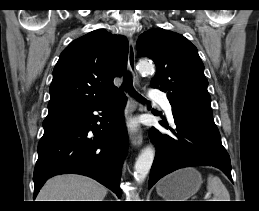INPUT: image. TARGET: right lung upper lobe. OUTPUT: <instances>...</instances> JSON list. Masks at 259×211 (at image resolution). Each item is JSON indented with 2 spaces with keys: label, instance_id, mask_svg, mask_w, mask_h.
Masks as SVG:
<instances>
[{
  "label": "right lung upper lobe",
  "instance_id": "obj_1",
  "mask_svg": "<svg viewBox=\"0 0 259 211\" xmlns=\"http://www.w3.org/2000/svg\"><path fill=\"white\" fill-rule=\"evenodd\" d=\"M128 40L105 30L72 41L53 70L47 117L85 110L119 95L113 84L122 76Z\"/></svg>",
  "mask_w": 259,
  "mask_h": 211
}]
</instances>
